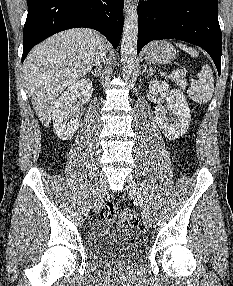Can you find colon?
<instances>
[{
  "instance_id": "colon-1",
  "label": "colon",
  "mask_w": 233,
  "mask_h": 286,
  "mask_svg": "<svg viewBox=\"0 0 233 286\" xmlns=\"http://www.w3.org/2000/svg\"><path fill=\"white\" fill-rule=\"evenodd\" d=\"M100 217L101 218H113L115 217V207L113 203L106 202L102 205L100 208ZM119 219L124 222H128L132 225H139L140 220L137 214H135L133 211L129 209H124L119 214Z\"/></svg>"
}]
</instances>
